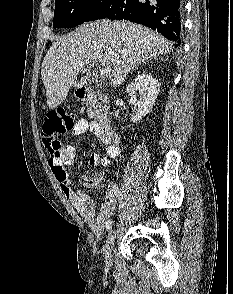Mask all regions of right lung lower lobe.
<instances>
[{
  "label": "right lung lower lobe",
  "instance_id": "obj_1",
  "mask_svg": "<svg viewBox=\"0 0 233 294\" xmlns=\"http://www.w3.org/2000/svg\"><path fill=\"white\" fill-rule=\"evenodd\" d=\"M106 18L145 25L174 41L175 47L181 44V0H118Z\"/></svg>",
  "mask_w": 233,
  "mask_h": 294
}]
</instances>
